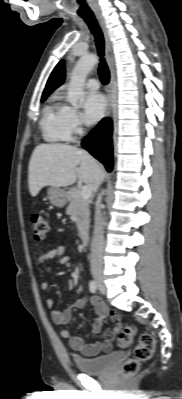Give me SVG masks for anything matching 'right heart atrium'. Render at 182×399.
<instances>
[{"instance_id": "right-heart-atrium-1", "label": "right heart atrium", "mask_w": 182, "mask_h": 399, "mask_svg": "<svg viewBox=\"0 0 182 399\" xmlns=\"http://www.w3.org/2000/svg\"><path fill=\"white\" fill-rule=\"evenodd\" d=\"M67 123L72 135H79L84 130L82 115L71 107H68L67 109Z\"/></svg>"}]
</instances>
